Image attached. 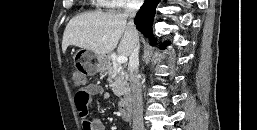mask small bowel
I'll return each mask as SVG.
<instances>
[{
    "label": "small bowel",
    "instance_id": "obj_1",
    "mask_svg": "<svg viewBox=\"0 0 257 130\" xmlns=\"http://www.w3.org/2000/svg\"><path fill=\"white\" fill-rule=\"evenodd\" d=\"M93 96H98L106 100L109 99L110 94L101 85L89 84L85 88L79 90L75 95L74 103L78 115L82 119V129L105 130V125L101 119L94 118L90 120L87 118L89 114V106Z\"/></svg>",
    "mask_w": 257,
    "mask_h": 130
}]
</instances>
